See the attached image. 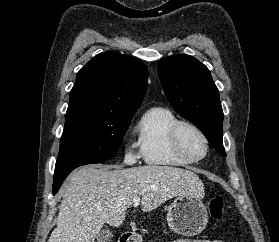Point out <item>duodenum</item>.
I'll use <instances>...</instances> for the list:
<instances>
[{
	"label": "duodenum",
	"instance_id": "obj_1",
	"mask_svg": "<svg viewBox=\"0 0 279 242\" xmlns=\"http://www.w3.org/2000/svg\"><path fill=\"white\" fill-rule=\"evenodd\" d=\"M120 242H131V237L129 234H123L120 237Z\"/></svg>",
	"mask_w": 279,
	"mask_h": 242
}]
</instances>
